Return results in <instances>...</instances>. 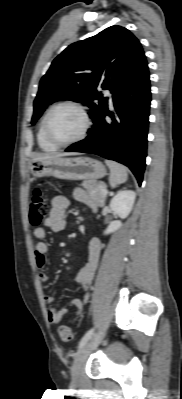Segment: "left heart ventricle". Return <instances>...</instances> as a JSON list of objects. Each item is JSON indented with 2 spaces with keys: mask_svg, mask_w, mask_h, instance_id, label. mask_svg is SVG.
Listing matches in <instances>:
<instances>
[{
  "mask_svg": "<svg viewBox=\"0 0 182 399\" xmlns=\"http://www.w3.org/2000/svg\"><path fill=\"white\" fill-rule=\"evenodd\" d=\"M84 120L78 110L72 107L57 109L50 119V132L58 141L77 137L83 129Z\"/></svg>",
  "mask_w": 182,
  "mask_h": 399,
  "instance_id": "1",
  "label": "left heart ventricle"
}]
</instances>
